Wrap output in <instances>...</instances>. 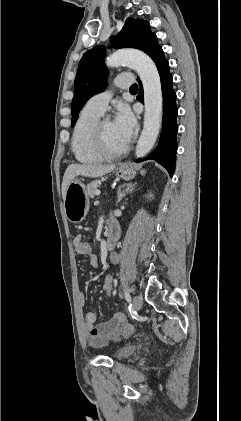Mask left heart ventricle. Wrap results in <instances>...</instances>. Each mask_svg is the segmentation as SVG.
Masks as SVG:
<instances>
[{
	"mask_svg": "<svg viewBox=\"0 0 241 421\" xmlns=\"http://www.w3.org/2000/svg\"><path fill=\"white\" fill-rule=\"evenodd\" d=\"M104 139L110 150L122 149L127 143L121 138L112 121L106 120L103 124Z\"/></svg>",
	"mask_w": 241,
	"mask_h": 421,
	"instance_id": "1",
	"label": "left heart ventricle"
}]
</instances>
